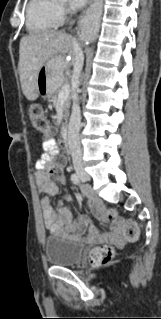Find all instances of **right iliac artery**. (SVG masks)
<instances>
[{
  "mask_svg": "<svg viewBox=\"0 0 161 319\" xmlns=\"http://www.w3.org/2000/svg\"><path fill=\"white\" fill-rule=\"evenodd\" d=\"M71 181L75 184V185H79L81 182L80 177L77 174H72L71 175Z\"/></svg>",
  "mask_w": 161,
  "mask_h": 319,
  "instance_id": "82829eb1",
  "label": "right iliac artery"
}]
</instances>
